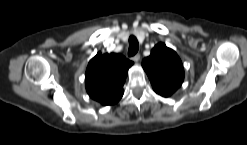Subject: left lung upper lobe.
<instances>
[{
    "mask_svg": "<svg viewBox=\"0 0 247 145\" xmlns=\"http://www.w3.org/2000/svg\"><path fill=\"white\" fill-rule=\"evenodd\" d=\"M142 67L154 91L164 97L173 94L184 80V69L180 58L174 50L163 43L155 45L150 56L144 58Z\"/></svg>",
    "mask_w": 247,
    "mask_h": 145,
    "instance_id": "obj_1",
    "label": "left lung upper lobe"
}]
</instances>
